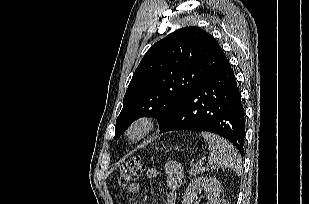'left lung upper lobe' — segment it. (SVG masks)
Returning <instances> with one entry per match:
<instances>
[{
	"label": "left lung upper lobe",
	"instance_id": "left-lung-upper-lobe-1",
	"mask_svg": "<svg viewBox=\"0 0 309 204\" xmlns=\"http://www.w3.org/2000/svg\"><path fill=\"white\" fill-rule=\"evenodd\" d=\"M225 59L213 36L196 26L178 29L156 42L134 72L114 137L140 117H154L161 127Z\"/></svg>",
	"mask_w": 309,
	"mask_h": 204
}]
</instances>
